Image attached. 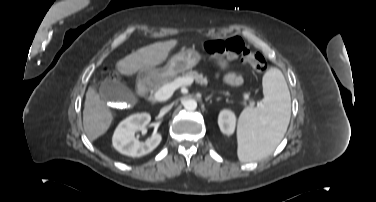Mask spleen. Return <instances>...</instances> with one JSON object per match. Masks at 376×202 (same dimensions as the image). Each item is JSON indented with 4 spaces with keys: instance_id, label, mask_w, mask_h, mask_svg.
<instances>
[{
    "instance_id": "obj_1",
    "label": "spleen",
    "mask_w": 376,
    "mask_h": 202,
    "mask_svg": "<svg viewBox=\"0 0 376 202\" xmlns=\"http://www.w3.org/2000/svg\"><path fill=\"white\" fill-rule=\"evenodd\" d=\"M264 99L259 107L243 110L238 119V158L260 160L271 154L283 139L291 115L290 92L284 75L270 68L262 79Z\"/></svg>"
}]
</instances>
